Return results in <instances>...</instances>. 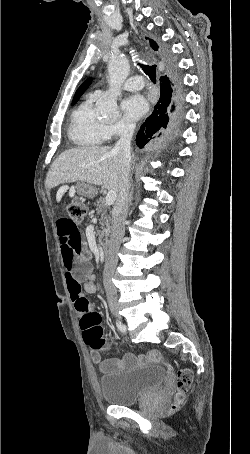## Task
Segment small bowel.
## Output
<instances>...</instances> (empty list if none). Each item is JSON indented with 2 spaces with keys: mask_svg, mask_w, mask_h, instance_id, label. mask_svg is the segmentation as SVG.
Here are the masks:
<instances>
[{
  "mask_svg": "<svg viewBox=\"0 0 250 454\" xmlns=\"http://www.w3.org/2000/svg\"><path fill=\"white\" fill-rule=\"evenodd\" d=\"M57 230L61 242V253L65 268V279L71 300L77 313L82 316L87 310H94L92 304L86 298V294L96 291L95 276L90 261V251L78 226L68 218H60L57 221ZM91 357L102 372L113 371L121 366H129L135 363L131 355L122 360L103 359L98 351L92 350ZM151 361H159L158 353L149 355Z\"/></svg>",
  "mask_w": 250,
  "mask_h": 454,
  "instance_id": "obj_1",
  "label": "small bowel"
}]
</instances>
